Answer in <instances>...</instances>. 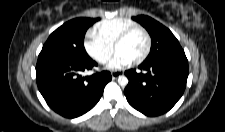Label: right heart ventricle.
<instances>
[{"label": "right heart ventricle", "instance_id": "1", "mask_svg": "<svg viewBox=\"0 0 225 132\" xmlns=\"http://www.w3.org/2000/svg\"><path fill=\"white\" fill-rule=\"evenodd\" d=\"M137 24L127 18H114L103 20L94 27L95 36L109 46H114L118 36L126 29Z\"/></svg>", "mask_w": 225, "mask_h": 132}]
</instances>
